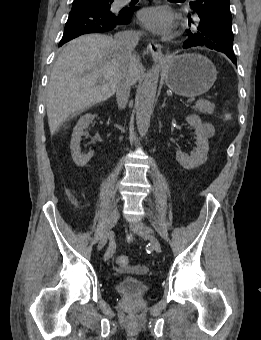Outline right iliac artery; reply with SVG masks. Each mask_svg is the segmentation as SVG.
Returning <instances> with one entry per match:
<instances>
[{"label":"right iliac artery","instance_id":"obj_1","mask_svg":"<svg viewBox=\"0 0 261 340\" xmlns=\"http://www.w3.org/2000/svg\"><path fill=\"white\" fill-rule=\"evenodd\" d=\"M115 249H116V243H115V240L113 239V235L111 234L109 246L104 254V259L109 260L113 256Z\"/></svg>","mask_w":261,"mask_h":340}]
</instances>
